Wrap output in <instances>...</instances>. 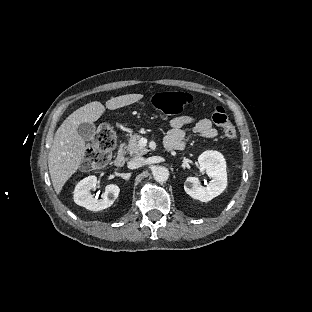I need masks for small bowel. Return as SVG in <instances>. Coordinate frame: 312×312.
<instances>
[{"instance_id":"obj_1","label":"small bowel","mask_w":312,"mask_h":312,"mask_svg":"<svg viewBox=\"0 0 312 312\" xmlns=\"http://www.w3.org/2000/svg\"><path fill=\"white\" fill-rule=\"evenodd\" d=\"M185 126H192L193 132L206 139H212L217 136V130L210 119L184 114L170 120L165 146H173L179 151L183 150L185 148L186 133L183 130Z\"/></svg>"}]
</instances>
